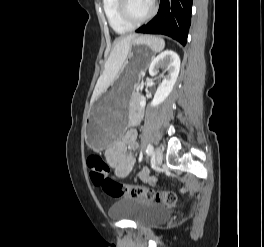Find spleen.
<instances>
[{
  "mask_svg": "<svg viewBox=\"0 0 264 247\" xmlns=\"http://www.w3.org/2000/svg\"><path fill=\"white\" fill-rule=\"evenodd\" d=\"M145 43L155 52H160L164 49L165 42L162 38L154 36H146Z\"/></svg>",
  "mask_w": 264,
  "mask_h": 247,
  "instance_id": "obj_1",
  "label": "spleen"
}]
</instances>
